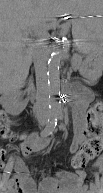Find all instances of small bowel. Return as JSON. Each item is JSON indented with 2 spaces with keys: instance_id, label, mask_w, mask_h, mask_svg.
I'll use <instances>...</instances> for the list:
<instances>
[{
  "instance_id": "1",
  "label": "small bowel",
  "mask_w": 103,
  "mask_h": 193,
  "mask_svg": "<svg viewBox=\"0 0 103 193\" xmlns=\"http://www.w3.org/2000/svg\"><path fill=\"white\" fill-rule=\"evenodd\" d=\"M91 97V93H85L80 101L81 112L74 126L75 138L71 145L72 149H76L79 145H83L85 143L84 138L88 125V118L86 117L85 113L88 112L89 116L92 112V109H89V100ZM9 123L10 121L5 118V125H8ZM46 145V139H40L36 135H31L23 141L22 153L25 157H30L35 153L43 151ZM4 155L5 151L1 150V156L4 157ZM15 167L17 170V175L10 179L9 184L10 186L15 185L16 189H20V193H63L67 190H77V192L82 191L83 193L86 188L83 185V181L86 177L85 172H79L77 174L55 172L43 182L39 189H37L31 173L23 165V163L17 162Z\"/></svg>"
}]
</instances>
